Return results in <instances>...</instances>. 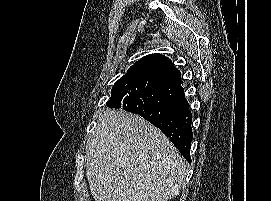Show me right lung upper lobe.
<instances>
[{"label":"right lung upper lobe","instance_id":"1","mask_svg":"<svg viewBox=\"0 0 271 201\" xmlns=\"http://www.w3.org/2000/svg\"><path fill=\"white\" fill-rule=\"evenodd\" d=\"M165 56L154 53L149 54L138 60L133 66L130 67L128 72H134V71H149L151 68L157 64L160 60H162Z\"/></svg>","mask_w":271,"mask_h":201}]
</instances>
